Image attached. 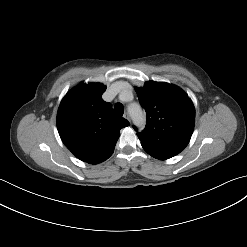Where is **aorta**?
<instances>
[{
  "instance_id": "aorta-1",
  "label": "aorta",
  "mask_w": 247,
  "mask_h": 247,
  "mask_svg": "<svg viewBox=\"0 0 247 247\" xmlns=\"http://www.w3.org/2000/svg\"><path fill=\"white\" fill-rule=\"evenodd\" d=\"M129 112L135 125L143 127L145 124V117L139 105L133 104L129 107Z\"/></svg>"
}]
</instances>
